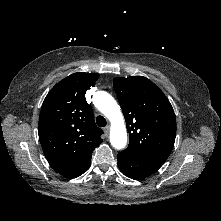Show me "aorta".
Returning a JSON list of instances; mask_svg holds the SVG:
<instances>
[{
    "mask_svg": "<svg viewBox=\"0 0 221 221\" xmlns=\"http://www.w3.org/2000/svg\"><path fill=\"white\" fill-rule=\"evenodd\" d=\"M95 98V106L111 122V145L116 149H123L127 144V132L120 106L110 94L104 91L96 92Z\"/></svg>",
    "mask_w": 221,
    "mask_h": 221,
    "instance_id": "aorta-1",
    "label": "aorta"
}]
</instances>
